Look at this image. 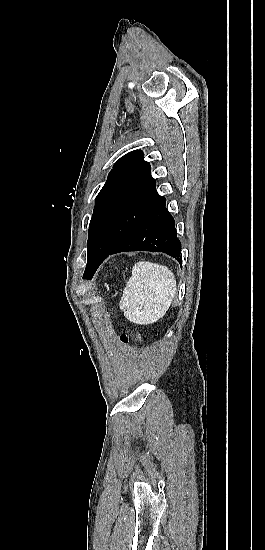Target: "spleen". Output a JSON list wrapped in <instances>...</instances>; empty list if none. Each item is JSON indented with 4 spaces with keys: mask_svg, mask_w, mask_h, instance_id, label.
I'll return each mask as SVG.
<instances>
[{
    "mask_svg": "<svg viewBox=\"0 0 265 550\" xmlns=\"http://www.w3.org/2000/svg\"><path fill=\"white\" fill-rule=\"evenodd\" d=\"M175 293L176 279L171 270L164 265L140 261L133 266L120 309L135 324H152L166 314Z\"/></svg>",
    "mask_w": 265,
    "mask_h": 550,
    "instance_id": "obj_1",
    "label": "spleen"
}]
</instances>
